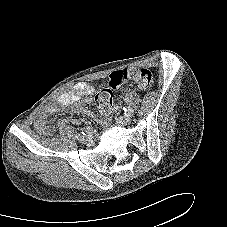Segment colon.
Segmentation results:
<instances>
[{"mask_svg": "<svg viewBox=\"0 0 227 227\" xmlns=\"http://www.w3.org/2000/svg\"><path fill=\"white\" fill-rule=\"evenodd\" d=\"M128 80L135 82L141 89L150 88L154 81L152 73L146 68L128 67L114 71L109 76L107 86L95 96L97 107L103 112L108 111L112 106L113 90Z\"/></svg>", "mask_w": 227, "mask_h": 227, "instance_id": "colon-1", "label": "colon"}]
</instances>
